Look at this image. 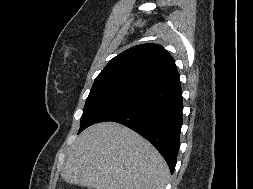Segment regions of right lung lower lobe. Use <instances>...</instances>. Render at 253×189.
<instances>
[{
  "label": "right lung lower lobe",
  "mask_w": 253,
  "mask_h": 189,
  "mask_svg": "<svg viewBox=\"0 0 253 189\" xmlns=\"http://www.w3.org/2000/svg\"><path fill=\"white\" fill-rule=\"evenodd\" d=\"M182 90L180 81L148 91L142 98L98 122L123 124L146 139L162 154L174 172L182 127Z\"/></svg>",
  "instance_id": "98d812e1"
}]
</instances>
